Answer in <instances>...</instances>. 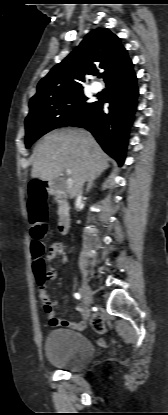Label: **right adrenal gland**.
Segmentation results:
<instances>
[{
	"instance_id": "obj_1",
	"label": "right adrenal gland",
	"mask_w": 168,
	"mask_h": 415,
	"mask_svg": "<svg viewBox=\"0 0 168 415\" xmlns=\"http://www.w3.org/2000/svg\"><path fill=\"white\" fill-rule=\"evenodd\" d=\"M101 174H97L96 176H94L93 178H91L90 180H88L87 183V187H86V193L89 192V190L93 187V183L94 181L100 177Z\"/></svg>"
}]
</instances>
